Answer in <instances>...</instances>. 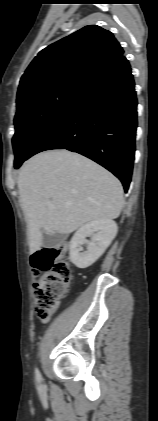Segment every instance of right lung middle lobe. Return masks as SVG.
I'll return each instance as SVG.
<instances>
[{
	"mask_svg": "<svg viewBox=\"0 0 158 421\" xmlns=\"http://www.w3.org/2000/svg\"><path fill=\"white\" fill-rule=\"evenodd\" d=\"M84 85L63 84L47 88L17 101L12 139L15 168L28 159V155L47 129L64 112Z\"/></svg>",
	"mask_w": 158,
	"mask_h": 421,
	"instance_id": "dd1d6c3e",
	"label": "right lung middle lobe"
}]
</instances>
